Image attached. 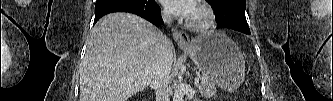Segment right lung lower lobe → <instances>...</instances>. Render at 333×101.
Listing matches in <instances>:
<instances>
[{
  "instance_id": "obj_1",
  "label": "right lung lower lobe",
  "mask_w": 333,
  "mask_h": 101,
  "mask_svg": "<svg viewBox=\"0 0 333 101\" xmlns=\"http://www.w3.org/2000/svg\"><path fill=\"white\" fill-rule=\"evenodd\" d=\"M112 12L137 14L155 25H162L160 7L154 0H97L94 24L102 16Z\"/></svg>"
}]
</instances>
